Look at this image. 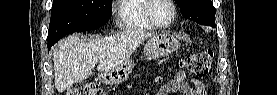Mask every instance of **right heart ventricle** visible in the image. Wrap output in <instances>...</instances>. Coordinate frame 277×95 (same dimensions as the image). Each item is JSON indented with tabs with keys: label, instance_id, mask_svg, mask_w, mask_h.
Returning <instances> with one entry per match:
<instances>
[{
	"label": "right heart ventricle",
	"instance_id": "obj_1",
	"mask_svg": "<svg viewBox=\"0 0 277 95\" xmlns=\"http://www.w3.org/2000/svg\"><path fill=\"white\" fill-rule=\"evenodd\" d=\"M150 0H120L117 24L123 30L153 29L146 16Z\"/></svg>",
	"mask_w": 277,
	"mask_h": 95
}]
</instances>
